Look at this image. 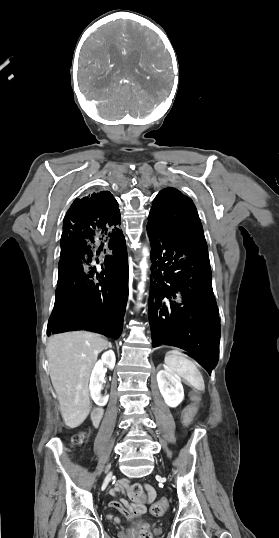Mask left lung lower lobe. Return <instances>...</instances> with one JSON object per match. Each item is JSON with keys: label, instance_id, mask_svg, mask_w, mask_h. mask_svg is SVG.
<instances>
[{"label": "left lung lower lobe", "instance_id": "left-lung-lower-lobe-1", "mask_svg": "<svg viewBox=\"0 0 279 538\" xmlns=\"http://www.w3.org/2000/svg\"><path fill=\"white\" fill-rule=\"evenodd\" d=\"M147 232L152 247L149 300L152 346L184 349L211 375L219 358L220 319L207 245Z\"/></svg>", "mask_w": 279, "mask_h": 538}]
</instances>
